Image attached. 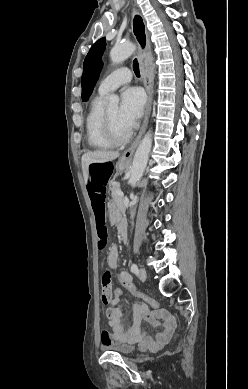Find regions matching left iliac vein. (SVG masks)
<instances>
[{
    "mask_svg": "<svg viewBox=\"0 0 248 389\" xmlns=\"http://www.w3.org/2000/svg\"><path fill=\"white\" fill-rule=\"evenodd\" d=\"M138 277L140 280L144 281L147 277L146 270L144 268H140L138 271Z\"/></svg>",
    "mask_w": 248,
    "mask_h": 389,
    "instance_id": "obj_1",
    "label": "left iliac vein"
}]
</instances>
